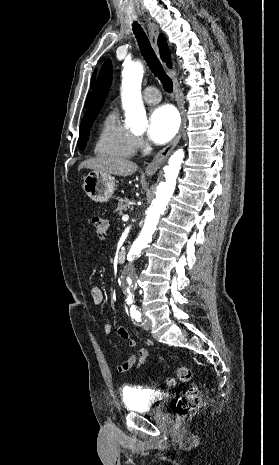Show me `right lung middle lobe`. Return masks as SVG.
<instances>
[{
	"label": "right lung middle lobe",
	"mask_w": 279,
	"mask_h": 465,
	"mask_svg": "<svg viewBox=\"0 0 279 465\" xmlns=\"http://www.w3.org/2000/svg\"><path fill=\"white\" fill-rule=\"evenodd\" d=\"M92 124H90L89 126L85 128L80 129V135H79L78 145H77L80 150H84L86 146V142L88 141L89 131L91 129Z\"/></svg>",
	"instance_id": "dd1d6c3e"
}]
</instances>
